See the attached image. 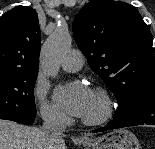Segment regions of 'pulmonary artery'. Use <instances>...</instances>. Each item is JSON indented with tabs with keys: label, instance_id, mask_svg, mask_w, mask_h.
<instances>
[{
	"label": "pulmonary artery",
	"instance_id": "pulmonary-artery-1",
	"mask_svg": "<svg viewBox=\"0 0 155 149\" xmlns=\"http://www.w3.org/2000/svg\"><path fill=\"white\" fill-rule=\"evenodd\" d=\"M83 56L76 49L69 50L60 62L61 67L67 72H74L81 68Z\"/></svg>",
	"mask_w": 155,
	"mask_h": 149
}]
</instances>
